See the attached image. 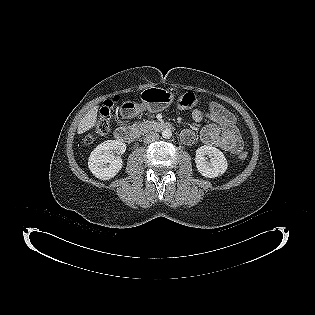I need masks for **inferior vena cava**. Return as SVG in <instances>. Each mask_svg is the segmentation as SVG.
Here are the masks:
<instances>
[{"label": "inferior vena cava", "instance_id": "obj_1", "mask_svg": "<svg viewBox=\"0 0 315 315\" xmlns=\"http://www.w3.org/2000/svg\"><path fill=\"white\" fill-rule=\"evenodd\" d=\"M159 139V134L158 133H155V132H151V133H148L145 135L144 137V143H151V142H154L156 140Z\"/></svg>", "mask_w": 315, "mask_h": 315}]
</instances>
